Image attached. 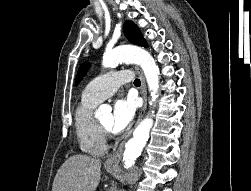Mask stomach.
Wrapping results in <instances>:
<instances>
[{
  "label": "stomach",
  "instance_id": "0dacf381",
  "mask_svg": "<svg viewBox=\"0 0 251 191\" xmlns=\"http://www.w3.org/2000/svg\"><path fill=\"white\" fill-rule=\"evenodd\" d=\"M105 169H107V171H115V169H117L116 165H112V167H105Z\"/></svg>",
  "mask_w": 251,
  "mask_h": 191
}]
</instances>
